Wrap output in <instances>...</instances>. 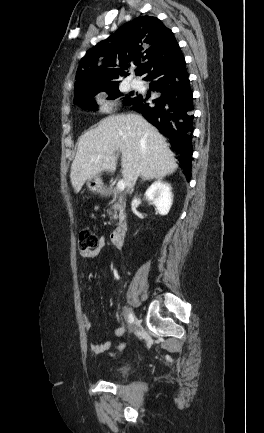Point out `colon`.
<instances>
[{
    "instance_id": "obj_1",
    "label": "colon",
    "mask_w": 264,
    "mask_h": 433,
    "mask_svg": "<svg viewBox=\"0 0 264 433\" xmlns=\"http://www.w3.org/2000/svg\"><path fill=\"white\" fill-rule=\"evenodd\" d=\"M99 242L97 235L89 229H83L78 236V249L84 253L94 249Z\"/></svg>"
}]
</instances>
